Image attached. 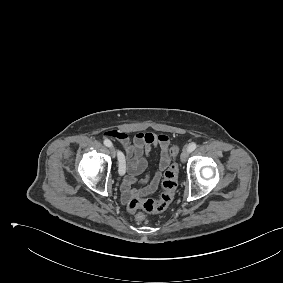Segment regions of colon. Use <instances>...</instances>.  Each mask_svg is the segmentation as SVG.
<instances>
[{
	"mask_svg": "<svg viewBox=\"0 0 283 283\" xmlns=\"http://www.w3.org/2000/svg\"><path fill=\"white\" fill-rule=\"evenodd\" d=\"M179 152L177 146L170 149L171 157L174 159ZM178 184V166L175 162L167 169L162 181L163 193L159 199H140L133 197L127 204V209L139 221L143 220L146 213L163 212L171 204Z\"/></svg>",
	"mask_w": 283,
	"mask_h": 283,
	"instance_id": "5ec220e1",
	"label": "colon"
}]
</instances>
